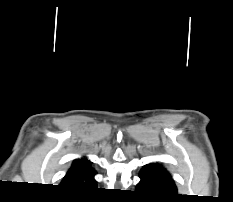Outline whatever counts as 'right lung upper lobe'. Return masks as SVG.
Returning a JSON list of instances; mask_svg holds the SVG:
<instances>
[{
  "mask_svg": "<svg viewBox=\"0 0 233 202\" xmlns=\"http://www.w3.org/2000/svg\"><path fill=\"white\" fill-rule=\"evenodd\" d=\"M95 170L85 158L75 159L61 182V186L72 191H89L96 187Z\"/></svg>",
  "mask_w": 233,
  "mask_h": 202,
  "instance_id": "1",
  "label": "right lung upper lobe"
}]
</instances>
